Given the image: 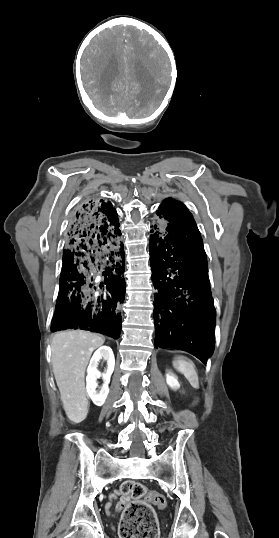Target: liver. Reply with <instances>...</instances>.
Listing matches in <instances>:
<instances>
[{
	"label": "liver",
	"instance_id": "1",
	"mask_svg": "<svg viewBox=\"0 0 279 538\" xmlns=\"http://www.w3.org/2000/svg\"><path fill=\"white\" fill-rule=\"evenodd\" d=\"M104 336L84 330L56 332L51 346V362L61 394L65 414L79 424L88 414L85 392V370L96 348L103 346Z\"/></svg>",
	"mask_w": 279,
	"mask_h": 538
}]
</instances>
